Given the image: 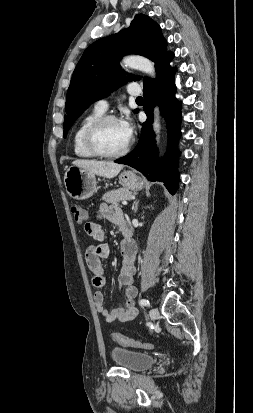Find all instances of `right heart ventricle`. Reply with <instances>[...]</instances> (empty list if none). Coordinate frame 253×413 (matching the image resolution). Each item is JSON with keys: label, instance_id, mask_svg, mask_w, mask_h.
Here are the masks:
<instances>
[{"label": "right heart ventricle", "instance_id": "1", "mask_svg": "<svg viewBox=\"0 0 253 413\" xmlns=\"http://www.w3.org/2000/svg\"><path fill=\"white\" fill-rule=\"evenodd\" d=\"M102 115L103 112L93 109L90 113L82 117L76 125L72 136L73 151L76 156L80 158H93L95 156L86 148L83 137L89 124Z\"/></svg>", "mask_w": 253, "mask_h": 413}]
</instances>
